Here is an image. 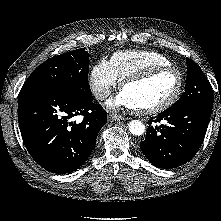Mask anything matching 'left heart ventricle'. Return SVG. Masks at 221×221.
<instances>
[{"label":"left heart ventricle","instance_id":"1","mask_svg":"<svg viewBox=\"0 0 221 221\" xmlns=\"http://www.w3.org/2000/svg\"><path fill=\"white\" fill-rule=\"evenodd\" d=\"M178 77L174 72H165L148 80L126 86L123 92L136 109L156 106L175 92Z\"/></svg>","mask_w":221,"mask_h":221}]
</instances>
